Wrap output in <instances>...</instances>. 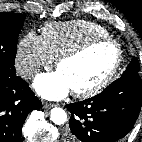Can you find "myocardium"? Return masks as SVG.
Instances as JSON below:
<instances>
[{"instance_id": "f54148a6", "label": "myocardium", "mask_w": 142, "mask_h": 142, "mask_svg": "<svg viewBox=\"0 0 142 142\" xmlns=\"http://www.w3.org/2000/svg\"><path fill=\"white\" fill-rule=\"evenodd\" d=\"M103 44H109V45L113 46L114 49L116 50V59L114 61L113 66L108 71V73L100 81H98L94 85H92L88 88H85V89L73 90L72 92L75 96H77V97H91V96L98 94L105 87L108 86V84L116 76V74L121 66V63H122L123 53H122V49H121L120 44L117 41H115L114 39L109 38V37L94 38V39H91V40L61 54L56 59L55 66L58 69L62 63L66 62V61L73 60L75 58H78V57L84 55L85 53H87L88 51H90L95 46L103 45Z\"/></svg>"}]
</instances>
